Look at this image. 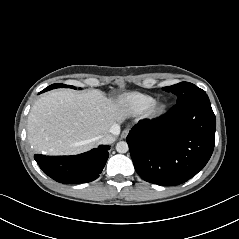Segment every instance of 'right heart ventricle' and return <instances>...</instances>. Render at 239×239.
Returning <instances> with one entry per match:
<instances>
[{"instance_id":"1","label":"right heart ventricle","mask_w":239,"mask_h":239,"mask_svg":"<svg viewBox=\"0 0 239 239\" xmlns=\"http://www.w3.org/2000/svg\"><path fill=\"white\" fill-rule=\"evenodd\" d=\"M154 98L151 95L132 92L124 95L123 104L133 113H142L151 104Z\"/></svg>"}]
</instances>
